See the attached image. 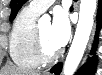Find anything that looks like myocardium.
I'll return each instance as SVG.
<instances>
[{
    "mask_svg": "<svg viewBox=\"0 0 102 75\" xmlns=\"http://www.w3.org/2000/svg\"><path fill=\"white\" fill-rule=\"evenodd\" d=\"M33 46H34L35 57L39 61V63L52 62L60 54V50H57L54 53L47 52L42 42L41 31L39 26H36L35 29Z\"/></svg>",
    "mask_w": 102,
    "mask_h": 75,
    "instance_id": "myocardium-1",
    "label": "myocardium"
}]
</instances>
